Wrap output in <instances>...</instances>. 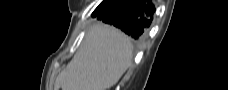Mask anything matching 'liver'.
<instances>
[{
	"label": "liver",
	"mask_w": 228,
	"mask_h": 90,
	"mask_svg": "<svg viewBox=\"0 0 228 90\" xmlns=\"http://www.w3.org/2000/svg\"><path fill=\"white\" fill-rule=\"evenodd\" d=\"M132 63V44L121 31L91 26L79 50L59 73L54 90H107Z\"/></svg>",
	"instance_id": "6515ba94"
}]
</instances>
